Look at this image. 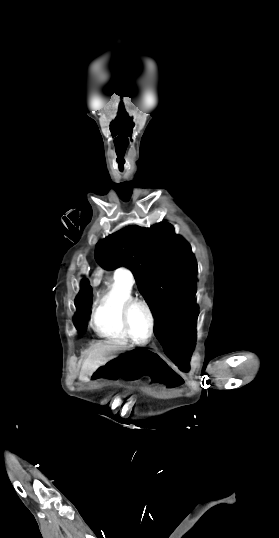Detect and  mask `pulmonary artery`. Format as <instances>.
<instances>
[{
  "label": "pulmonary artery",
  "mask_w": 279,
  "mask_h": 538,
  "mask_svg": "<svg viewBox=\"0 0 279 538\" xmlns=\"http://www.w3.org/2000/svg\"><path fill=\"white\" fill-rule=\"evenodd\" d=\"M122 272H124V269L123 268H118V269L115 270L114 275H119Z\"/></svg>",
  "instance_id": "obj_1"
}]
</instances>
